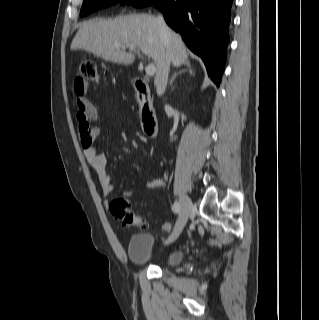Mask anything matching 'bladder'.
Masks as SVG:
<instances>
[{"mask_svg":"<svg viewBox=\"0 0 319 320\" xmlns=\"http://www.w3.org/2000/svg\"><path fill=\"white\" fill-rule=\"evenodd\" d=\"M154 243L155 237L150 233L132 234L128 242V257L136 264H156L161 267L173 266L182 260L183 253L180 250L154 254Z\"/></svg>","mask_w":319,"mask_h":320,"instance_id":"31cf9c89","label":"bladder"}]
</instances>
